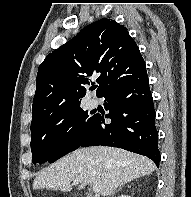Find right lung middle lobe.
Masks as SVG:
<instances>
[{
	"label": "right lung middle lobe",
	"instance_id": "obj_1",
	"mask_svg": "<svg viewBox=\"0 0 191 197\" xmlns=\"http://www.w3.org/2000/svg\"><path fill=\"white\" fill-rule=\"evenodd\" d=\"M95 118L77 105L31 128L32 162L52 163L79 148Z\"/></svg>",
	"mask_w": 191,
	"mask_h": 197
}]
</instances>
